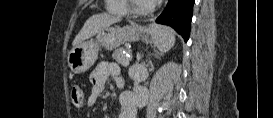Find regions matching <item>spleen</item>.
<instances>
[{"instance_id": "1", "label": "spleen", "mask_w": 273, "mask_h": 118, "mask_svg": "<svg viewBox=\"0 0 273 118\" xmlns=\"http://www.w3.org/2000/svg\"><path fill=\"white\" fill-rule=\"evenodd\" d=\"M151 35L153 43L161 52H167L175 43V36L169 27L153 25Z\"/></svg>"}]
</instances>
